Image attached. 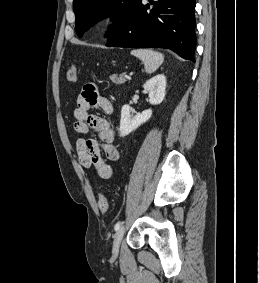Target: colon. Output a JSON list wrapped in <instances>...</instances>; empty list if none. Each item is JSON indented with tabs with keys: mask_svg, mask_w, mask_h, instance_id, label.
Returning <instances> with one entry per match:
<instances>
[{
	"mask_svg": "<svg viewBox=\"0 0 259 283\" xmlns=\"http://www.w3.org/2000/svg\"><path fill=\"white\" fill-rule=\"evenodd\" d=\"M66 79L69 83H75L77 80V68L75 65H70L66 72ZM98 207L101 212L105 213L108 210V200L104 194H100L98 198Z\"/></svg>",
	"mask_w": 259,
	"mask_h": 283,
	"instance_id": "5ec220e1",
	"label": "colon"
}]
</instances>
